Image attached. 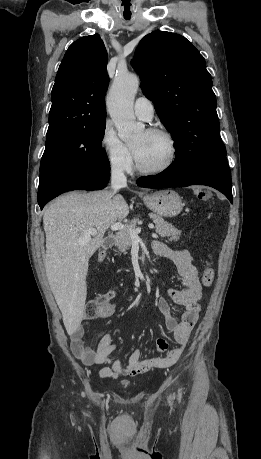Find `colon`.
<instances>
[{"label": "colon", "instance_id": "colon-1", "mask_svg": "<svg viewBox=\"0 0 261 459\" xmlns=\"http://www.w3.org/2000/svg\"><path fill=\"white\" fill-rule=\"evenodd\" d=\"M197 197L200 199H208L209 197H214L215 191L214 188H197L196 191ZM105 257L103 255H98V260L103 261ZM215 277V271L212 266L208 265L205 267L202 274V284L204 287H209L212 285ZM112 299V294L108 291L98 296L90 299L85 308V318L94 319L96 318L101 309L107 306Z\"/></svg>", "mask_w": 261, "mask_h": 459}]
</instances>
